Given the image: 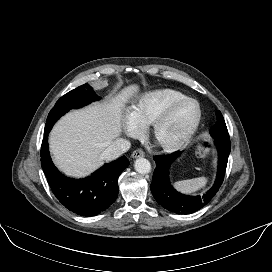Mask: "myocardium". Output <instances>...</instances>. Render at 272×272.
Returning <instances> with one entry per match:
<instances>
[{
	"mask_svg": "<svg viewBox=\"0 0 272 272\" xmlns=\"http://www.w3.org/2000/svg\"><path fill=\"white\" fill-rule=\"evenodd\" d=\"M188 102L195 104L197 108L196 118L192 126L188 130V132L183 137L175 141L162 140L160 138V131L162 127L164 126V124L166 123V121L169 119V117L171 116V114L177 107ZM201 119H202V110L197 100L190 97H184L182 99L176 100L172 102L171 104H169L152 123L151 130H150L151 138L154 144L160 149H162L163 151H166V152L177 151L190 143V141L193 139L195 133L198 130Z\"/></svg>",
	"mask_w": 272,
	"mask_h": 272,
	"instance_id": "f54148a6",
	"label": "myocardium"
}]
</instances>
